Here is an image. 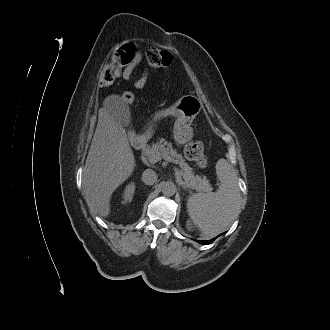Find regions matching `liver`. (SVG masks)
<instances>
[{"label": "liver", "instance_id": "1", "mask_svg": "<svg viewBox=\"0 0 330 330\" xmlns=\"http://www.w3.org/2000/svg\"><path fill=\"white\" fill-rule=\"evenodd\" d=\"M135 164L126 131L120 124L115 107L107 103L99 110L83 174L86 201L94 213L101 217L110 214L111 195L132 174Z\"/></svg>", "mask_w": 330, "mask_h": 330}]
</instances>
